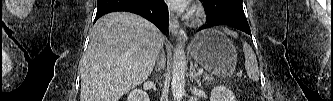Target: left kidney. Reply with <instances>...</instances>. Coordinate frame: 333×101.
Returning a JSON list of instances; mask_svg holds the SVG:
<instances>
[{
    "label": "left kidney",
    "instance_id": "5707ae66",
    "mask_svg": "<svg viewBox=\"0 0 333 101\" xmlns=\"http://www.w3.org/2000/svg\"><path fill=\"white\" fill-rule=\"evenodd\" d=\"M234 93L224 86H216L211 92L210 101H235Z\"/></svg>",
    "mask_w": 333,
    "mask_h": 101
}]
</instances>
